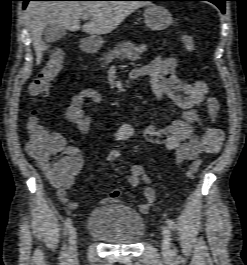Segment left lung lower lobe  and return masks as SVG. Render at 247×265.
Returning a JSON list of instances; mask_svg holds the SVG:
<instances>
[{
  "instance_id": "left-lung-lower-lobe-1",
  "label": "left lung lower lobe",
  "mask_w": 247,
  "mask_h": 265,
  "mask_svg": "<svg viewBox=\"0 0 247 265\" xmlns=\"http://www.w3.org/2000/svg\"><path fill=\"white\" fill-rule=\"evenodd\" d=\"M148 1H203V0H148ZM206 1H209L215 4L216 6H218L222 11V13L225 12V1L227 0H206Z\"/></svg>"
}]
</instances>
